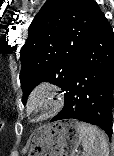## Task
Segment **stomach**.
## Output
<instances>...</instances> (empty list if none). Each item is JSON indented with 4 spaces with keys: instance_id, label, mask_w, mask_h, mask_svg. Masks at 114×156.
I'll list each match as a JSON object with an SVG mask.
<instances>
[{
    "instance_id": "1",
    "label": "stomach",
    "mask_w": 114,
    "mask_h": 156,
    "mask_svg": "<svg viewBox=\"0 0 114 156\" xmlns=\"http://www.w3.org/2000/svg\"><path fill=\"white\" fill-rule=\"evenodd\" d=\"M78 124L68 119L43 126L33 136L28 156H75L82 141Z\"/></svg>"
}]
</instances>
